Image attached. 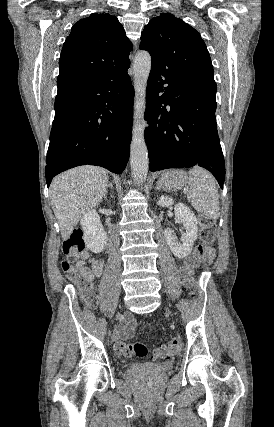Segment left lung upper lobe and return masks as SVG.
Listing matches in <instances>:
<instances>
[{"instance_id": "1", "label": "left lung upper lobe", "mask_w": 274, "mask_h": 427, "mask_svg": "<svg viewBox=\"0 0 274 427\" xmlns=\"http://www.w3.org/2000/svg\"><path fill=\"white\" fill-rule=\"evenodd\" d=\"M140 49L152 63L185 79L216 88L213 66L200 34L183 20L162 13L142 31Z\"/></svg>"}]
</instances>
